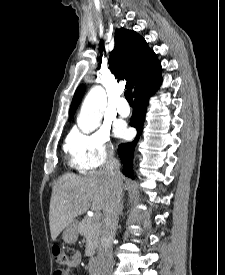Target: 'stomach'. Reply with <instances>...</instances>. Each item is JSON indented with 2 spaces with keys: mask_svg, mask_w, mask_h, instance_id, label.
<instances>
[{
  "mask_svg": "<svg viewBox=\"0 0 225 275\" xmlns=\"http://www.w3.org/2000/svg\"><path fill=\"white\" fill-rule=\"evenodd\" d=\"M77 227H78L77 223L72 222L64 229V231L62 233V239L67 244H72L77 240V238H78V229H77Z\"/></svg>",
  "mask_w": 225,
  "mask_h": 275,
  "instance_id": "1",
  "label": "stomach"
}]
</instances>
